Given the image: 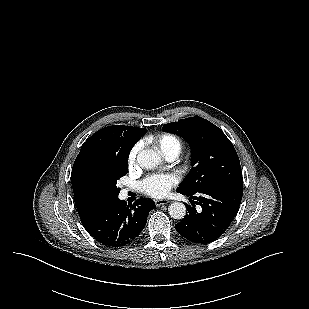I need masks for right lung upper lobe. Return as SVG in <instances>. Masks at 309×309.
Listing matches in <instances>:
<instances>
[{
  "mask_svg": "<svg viewBox=\"0 0 309 309\" xmlns=\"http://www.w3.org/2000/svg\"><path fill=\"white\" fill-rule=\"evenodd\" d=\"M146 131L144 128L132 126H108L95 132L83 144L71 173L74 201L79 215L107 200L99 184L100 162L112 152L130 153L132 147Z\"/></svg>",
  "mask_w": 309,
  "mask_h": 309,
  "instance_id": "obj_1",
  "label": "right lung upper lobe"
}]
</instances>
